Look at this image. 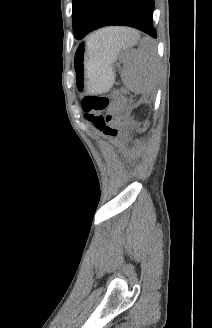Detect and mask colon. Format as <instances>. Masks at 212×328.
Listing matches in <instances>:
<instances>
[{
  "mask_svg": "<svg viewBox=\"0 0 212 328\" xmlns=\"http://www.w3.org/2000/svg\"><path fill=\"white\" fill-rule=\"evenodd\" d=\"M124 105L125 99L117 92L111 95L90 94L82 101L85 118L108 138L117 137L122 130L116 114Z\"/></svg>",
  "mask_w": 212,
  "mask_h": 328,
  "instance_id": "5ec220e1",
  "label": "colon"
}]
</instances>
